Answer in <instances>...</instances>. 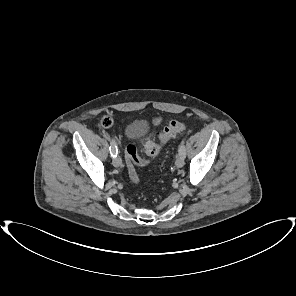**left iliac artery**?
Returning a JSON list of instances; mask_svg holds the SVG:
<instances>
[{"instance_id":"44dca946","label":"left iliac artery","mask_w":296,"mask_h":296,"mask_svg":"<svg viewBox=\"0 0 296 296\" xmlns=\"http://www.w3.org/2000/svg\"><path fill=\"white\" fill-rule=\"evenodd\" d=\"M178 153H179L180 156L185 157V155H186V150H185L184 143H181V144L179 145Z\"/></svg>"}]
</instances>
